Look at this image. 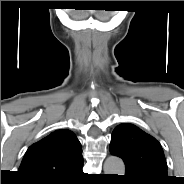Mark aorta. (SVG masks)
<instances>
[{
  "label": "aorta",
  "instance_id": "aorta-1",
  "mask_svg": "<svg viewBox=\"0 0 184 184\" xmlns=\"http://www.w3.org/2000/svg\"><path fill=\"white\" fill-rule=\"evenodd\" d=\"M104 172L105 174L124 175L125 166L122 159L116 156L108 157L104 163Z\"/></svg>",
  "mask_w": 184,
  "mask_h": 184
}]
</instances>
